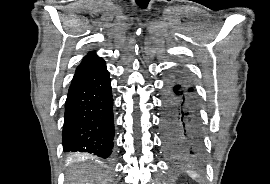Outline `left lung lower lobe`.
<instances>
[{
	"label": "left lung lower lobe",
	"mask_w": 270,
	"mask_h": 184,
	"mask_svg": "<svg viewBox=\"0 0 270 184\" xmlns=\"http://www.w3.org/2000/svg\"><path fill=\"white\" fill-rule=\"evenodd\" d=\"M161 118L163 146L175 161L203 158V131L195 89L186 75L169 84Z\"/></svg>",
	"instance_id": "0a47b994"
}]
</instances>
